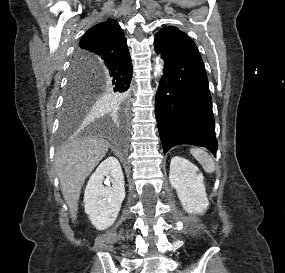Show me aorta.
Wrapping results in <instances>:
<instances>
[{
    "label": "aorta",
    "mask_w": 285,
    "mask_h": 273,
    "mask_svg": "<svg viewBox=\"0 0 285 273\" xmlns=\"http://www.w3.org/2000/svg\"><path fill=\"white\" fill-rule=\"evenodd\" d=\"M163 71V63L160 62V58H156L155 66H154V76H160Z\"/></svg>",
    "instance_id": "762f6f07"
}]
</instances>
